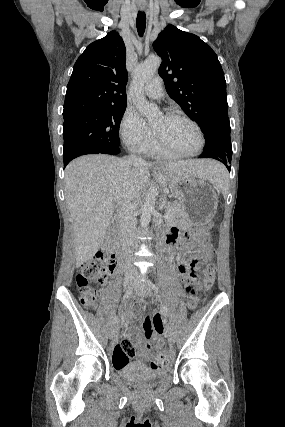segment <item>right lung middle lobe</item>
<instances>
[{
	"instance_id": "dd1d6c3e",
	"label": "right lung middle lobe",
	"mask_w": 285,
	"mask_h": 427,
	"mask_svg": "<svg viewBox=\"0 0 285 427\" xmlns=\"http://www.w3.org/2000/svg\"><path fill=\"white\" fill-rule=\"evenodd\" d=\"M125 109L108 107L64 118V163L84 154L120 153L119 127Z\"/></svg>"
}]
</instances>
